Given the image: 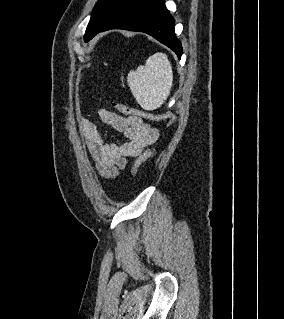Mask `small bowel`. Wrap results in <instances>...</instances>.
Here are the masks:
<instances>
[{"label": "small bowel", "instance_id": "small-bowel-1", "mask_svg": "<svg viewBox=\"0 0 284 319\" xmlns=\"http://www.w3.org/2000/svg\"><path fill=\"white\" fill-rule=\"evenodd\" d=\"M98 114L104 124L122 132L126 141L106 142L97 126L86 118L78 120V127L98 174L113 179L125 168L128 158L139 156L157 141L158 130L142 118L124 117L105 109H100Z\"/></svg>", "mask_w": 284, "mask_h": 319}]
</instances>
